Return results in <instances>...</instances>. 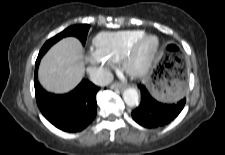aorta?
<instances>
[{"label": "aorta", "mask_w": 225, "mask_h": 155, "mask_svg": "<svg viewBox=\"0 0 225 155\" xmlns=\"http://www.w3.org/2000/svg\"><path fill=\"white\" fill-rule=\"evenodd\" d=\"M123 99L127 106L135 107L139 104V94L135 88H127L123 92Z\"/></svg>", "instance_id": "762f6f07"}]
</instances>
